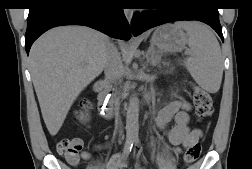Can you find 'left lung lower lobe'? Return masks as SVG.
Listing matches in <instances>:
<instances>
[{"label":"left lung lower lobe","mask_w":252,"mask_h":169,"mask_svg":"<svg viewBox=\"0 0 252 169\" xmlns=\"http://www.w3.org/2000/svg\"><path fill=\"white\" fill-rule=\"evenodd\" d=\"M163 8L152 13H135L131 29L134 36L153 27L181 20H196L211 26L223 41L215 0H166Z\"/></svg>","instance_id":"0a47b994"}]
</instances>
